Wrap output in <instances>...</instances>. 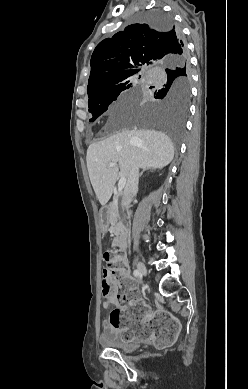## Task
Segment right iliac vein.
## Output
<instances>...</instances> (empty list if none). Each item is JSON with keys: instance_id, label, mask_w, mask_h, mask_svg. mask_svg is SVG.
Returning a JSON list of instances; mask_svg holds the SVG:
<instances>
[{"instance_id": "1", "label": "right iliac vein", "mask_w": 248, "mask_h": 389, "mask_svg": "<svg viewBox=\"0 0 248 389\" xmlns=\"http://www.w3.org/2000/svg\"><path fill=\"white\" fill-rule=\"evenodd\" d=\"M137 269L141 275L145 276L147 274V268L142 262L137 263Z\"/></svg>"}]
</instances>
